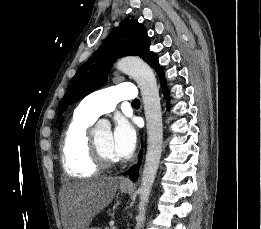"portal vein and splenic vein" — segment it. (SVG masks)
<instances>
[{
    "mask_svg": "<svg viewBox=\"0 0 261 229\" xmlns=\"http://www.w3.org/2000/svg\"><path fill=\"white\" fill-rule=\"evenodd\" d=\"M110 229H116V227L115 226H111Z\"/></svg>",
    "mask_w": 261,
    "mask_h": 229,
    "instance_id": "1",
    "label": "portal vein and splenic vein"
}]
</instances>
